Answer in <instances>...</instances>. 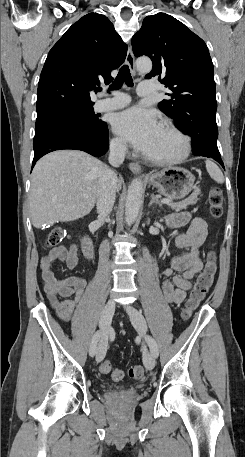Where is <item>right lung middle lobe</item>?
<instances>
[{"mask_svg": "<svg viewBox=\"0 0 245 457\" xmlns=\"http://www.w3.org/2000/svg\"><path fill=\"white\" fill-rule=\"evenodd\" d=\"M93 104L89 100L65 101L54 109L37 112L35 126L48 121L70 120L95 127L98 125V116L94 113Z\"/></svg>", "mask_w": 245, "mask_h": 457, "instance_id": "obj_1", "label": "right lung middle lobe"}]
</instances>
